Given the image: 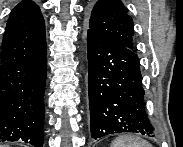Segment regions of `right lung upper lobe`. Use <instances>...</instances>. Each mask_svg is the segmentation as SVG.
<instances>
[{
  "instance_id": "obj_1",
  "label": "right lung upper lobe",
  "mask_w": 183,
  "mask_h": 147,
  "mask_svg": "<svg viewBox=\"0 0 183 147\" xmlns=\"http://www.w3.org/2000/svg\"><path fill=\"white\" fill-rule=\"evenodd\" d=\"M45 50V24L40 8L30 0H23L7 21L0 68L25 62Z\"/></svg>"
}]
</instances>
